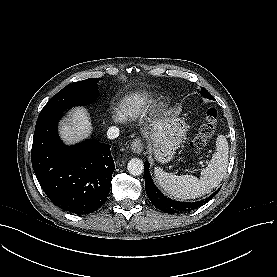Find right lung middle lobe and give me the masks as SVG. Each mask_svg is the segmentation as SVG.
<instances>
[{
    "mask_svg": "<svg viewBox=\"0 0 277 277\" xmlns=\"http://www.w3.org/2000/svg\"><path fill=\"white\" fill-rule=\"evenodd\" d=\"M98 80L99 78H89L68 84L44 106L39 117L50 113L62 112L72 106L91 103L98 96L96 84Z\"/></svg>",
    "mask_w": 277,
    "mask_h": 277,
    "instance_id": "obj_1",
    "label": "right lung middle lobe"
}]
</instances>
